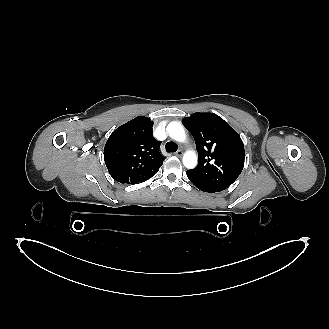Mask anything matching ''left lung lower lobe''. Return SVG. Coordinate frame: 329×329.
<instances>
[{
  "label": "left lung lower lobe",
  "instance_id": "obj_1",
  "mask_svg": "<svg viewBox=\"0 0 329 329\" xmlns=\"http://www.w3.org/2000/svg\"><path fill=\"white\" fill-rule=\"evenodd\" d=\"M187 176H188L189 180L201 191L208 192V193H216V192L221 191V190H218L217 188H214L212 186H209V185L197 180L196 178H194L193 176L190 175L189 171H187Z\"/></svg>",
  "mask_w": 329,
  "mask_h": 329
}]
</instances>
